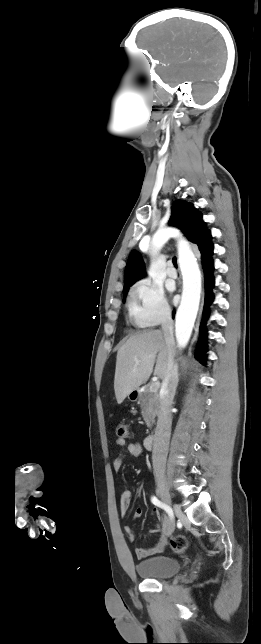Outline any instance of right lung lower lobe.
I'll list each match as a JSON object with an SVG mask.
<instances>
[{
    "label": "right lung lower lobe",
    "mask_w": 261,
    "mask_h": 644,
    "mask_svg": "<svg viewBox=\"0 0 261 644\" xmlns=\"http://www.w3.org/2000/svg\"><path fill=\"white\" fill-rule=\"evenodd\" d=\"M202 267L204 271V278H205V302H204V309H203V318L202 322L200 325V338L198 340V344L196 347V358L199 359V361L203 364H205L206 360V338H207V330H206V322L209 317V305L212 303L214 297L212 293V288L214 286V277H213V270H214V263L213 260L210 257L203 259L202 260ZM175 312L173 311V317H174Z\"/></svg>",
    "instance_id": "1"
}]
</instances>
